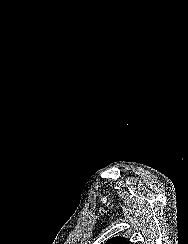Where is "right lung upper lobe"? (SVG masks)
<instances>
[{
    "label": "right lung upper lobe",
    "mask_w": 188,
    "mask_h": 244,
    "mask_svg": "<svg viewBox=\"0 0 188 244\" xmlns=\"http://www.w3.org/2000/svg\"><path fill=\"white\" fill-rule=\"evenodd\" d=\"M105 244H130V242L124 237H114L108 240Z\"/></svg>",
    "instance_id": "right-lung-upper-lobe-1"
}]
</instances>
